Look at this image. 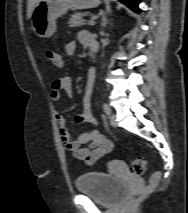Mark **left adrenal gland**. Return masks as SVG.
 <instances>
[{"instance_id": "1", "label": "left adrenal gland", "mask_w": 188, "mask_h": 213, "mask_svg": "<svg viewBox=\"0 0 188 213\" xmlns=\"http://www.w3.org/2000/svg\"><path fill=\"white\" fill-rule=\"evenodd\" d=\"M108 21L106 18V14L102 15V22H101V26L104 28L107 25Z\"/></svg>"}]
</instances>
